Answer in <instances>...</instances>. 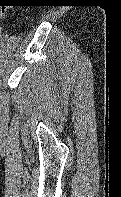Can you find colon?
I'll use <instances>...</instances> for the list:
<instances>
[{
	"instance_id": "5ec220e1",
	"label": "colon",
	"mask_w": 121,
	"mask_h": 197,
	"mask_svg": "<svg viewBox=\"0 0 121 197\" xmlns=\"http://www.w3.org/2000/svg\"><path fill=\"white\" fill-rule=\"evenodd\" d=\"M7 8L8 7L6 5H3L1 3V5H0V19H4L5 15H6V12H7Z\"/></svg>"
}]
</instances>
